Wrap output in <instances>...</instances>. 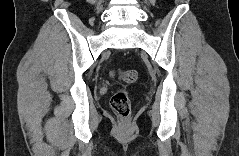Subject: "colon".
Returning <instances> with one entry per match:
<instances>
[{"instance_id": "colon-1", "label": "colon", "mask_w": 239, "mask_h": 156, "mask_svg": "<svg viewBox=\"0 0 239 156\" xmlns=\"http://www.w3.org/2000/svg\"><path fill=\"white\" fill-rule=\"evenodd\" d=\"M114 75L123 82L133 83L138 78L135 70H117ZM111 107L113 111L120 117L126 118L130 113V100L128 94L124 90H119L111 97Z\"/></svg>"}]
</instances>
